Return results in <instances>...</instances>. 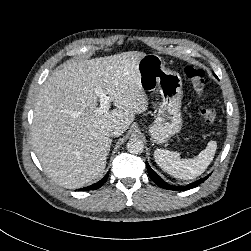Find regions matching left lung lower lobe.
<instances>
[{"instance_id":"left-lung-lower-lobe-1","label":"left lung lower lobe","mask_w":251,"mask_h":251,"mask_svg":"<svg viewBox=\"0 0 251 251\" xmlns=\"http://www.w3.org/2000/svg\"><path fill=\"white\" fill-rule=\"evenodd\" d=\"M215 75V74H214ZM216 76V75H215ZM148 174L150 178L161 188L167 189V190H189L192 188H195L199 184H201L203 181H205L209 176H206L200 180H197L193 183H190L186 186H174L166 183L159 175H157L149 166L148 162H146Z\"/></svg>"}]
</instances>
